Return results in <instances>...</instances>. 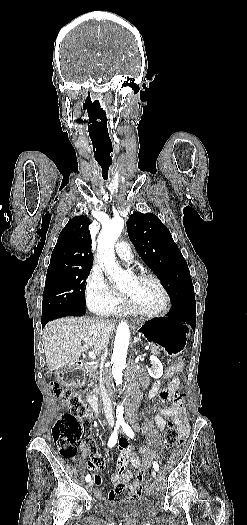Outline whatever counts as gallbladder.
<instances>
[{"mask_svg": "<svg viewBox=\"0 0 247 525\" xmlns=\"http://www.w3.org/2000/svg\"><path fill=\"white\" fill-rule=\"evenodd\" d=\"M45 377H46L47 379H50V378L52 377V374H51L50 372H47V373L45 374Z\"/></svg>", "mask_w": 247, "mask_h": 525, "instance_id": "bac80fb5", "label": "gallbladder"}]
</instances>
